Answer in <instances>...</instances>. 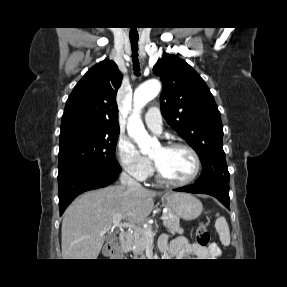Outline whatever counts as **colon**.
Here are the masks:
<instances>
[{
    "label": "colon",
    "mask_w": 287,
    "mask_h": 287,
    "mask_svg": "<svg viewBox=\"0 0 287 287\" xmlns=\"http://www.w3.org/2000/svg\"><path fill=\"white\" fill-rule=\"evenodd\" d=\"M211 240L210 232L205 224H200L196 231V241L200 246L209 245Z\"/></svg>",
    "instance_id": "5ec220e1"
}]
</instances>
